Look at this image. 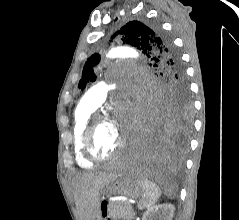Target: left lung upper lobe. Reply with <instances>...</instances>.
I'll return each mask as SVG.
<instances>
[{"instance_id":"obj_1","label":"left lung upper lobe","mask_w":239,"mask_h":220,"mask_svg":"<svg viewBox=\"0 0 239 220\" xmlns=\"http://www.w3.org/2000/svg\"><path fill=\"white\" fill-rule=\"evenodd\" d=\"M117 34L121 36L123 44H128L141 50L154 61V67H159L165 83L157 93V108H165L173 116L177 125L187 129L191 122L192 103L189 98L185 72L180 58L173 48L172 42L157 25H145L139 21H130ZM100 61L95 53L88 58L79 81V89H84L90 81H95L93 71Z\"/></svg>"}]
</instances>
